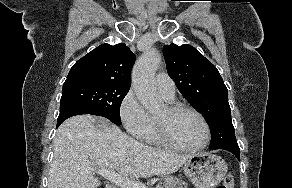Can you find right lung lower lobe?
<instances>
[{
  "instance_id": "right-lung-lower-lobe-1",
  "label": "right lung lower lobe",
  "mask_w": 292,
  "mask_h": 188,
  "mask_svg": "<svg viewBox=\"0 0 292 188\" xmlns=\"http://www.w3.org/2000/svg\"><path fill=\"white\" fill-rule=\"evenodd\" d=\"M80 114H89V113L80 109H66V110L60 111V114L57 119V127L67 118L75 116V115H80Z\"/></svg>"
}]
</instances>
